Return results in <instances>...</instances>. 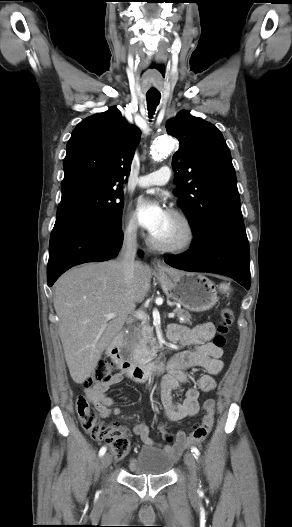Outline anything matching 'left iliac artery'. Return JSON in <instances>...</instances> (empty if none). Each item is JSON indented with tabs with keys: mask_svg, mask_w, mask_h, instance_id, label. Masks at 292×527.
Segmentation results:
<instances>
[{
	"mask_svg": "<svg viewBox=\"0 0 292 527\" xmlns=\"http://www.w3.org/2000/svg\"><path fill=\"white\" fill-rule=\"evenodd\" d=\"M191 452L194 455L195 458H198L200 456V452L196 447L191 448Z\"/></svg>",
	"mask_w": 292,
	"mask_h": 527,
	"instance_id": "obj_1",
	"label": "left iliac artery"
}]
</instances>
